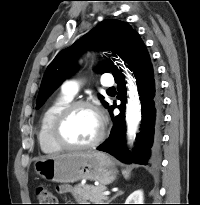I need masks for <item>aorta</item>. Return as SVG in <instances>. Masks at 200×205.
<instances>
[{"mask_svg":"<svg viewBox=\"0 0 200 205\" xmlns=\"http://www.w3.org/2000/svg\"><path fill=\"white\" fill-rule=\"evenodd\" d=\"M125 71L128 83V102L126 106L127 135L131 139L135 135V131L141 120V105L135 79L128 73L126 68Z\"/></svg>","mask_w":200,"mask_h":205,"instance_id":"762f6f07","label":"aorta"}]
</instances>
